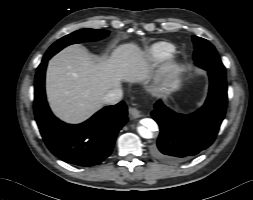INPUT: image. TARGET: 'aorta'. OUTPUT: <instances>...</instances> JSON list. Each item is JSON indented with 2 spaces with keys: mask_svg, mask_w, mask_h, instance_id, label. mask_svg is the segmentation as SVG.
<instances>
[{
  "mask_svg": "<svg viewBox=\"0 0 253 200\" xmlns=\"http://www.w3.org/2000/svg\"><path fill=\"white\" fill-rule=\"evenodd\" d=\"M142 126L138 127V133L141 137L150 139L153 137L152 131L157 129V124L152 119H144Z\"/></svg>",
  "mask_w": 253,
  "mask_h": 200,
  "instance_id": "aorta-1",
  "label": "aorta"
}]
</instances>
